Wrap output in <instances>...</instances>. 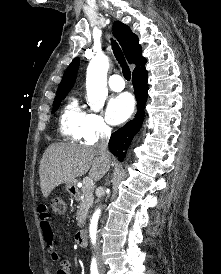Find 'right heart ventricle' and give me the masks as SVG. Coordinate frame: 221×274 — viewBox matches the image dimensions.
I'll list each match as a JSON object with an SVG mask.
<instances>
[{
    "label": "right heart ventricle",
    "instance_id": "right-heart-ventricle-1",
    "mask_svg": "<svg viewBox=\"0 0 221 274\" xmlns=\"http://www.w3.org/2000/svg\"><path fill=\"white\" fill-rule=\"evenodd\" d=\"M86 115L81 109L77 98L71 97L61 111V134L72 141H81L83 139V125Z\"/></svg>",
    "mask_w": 221,
    "mask_h": 274
}]
</instances>
